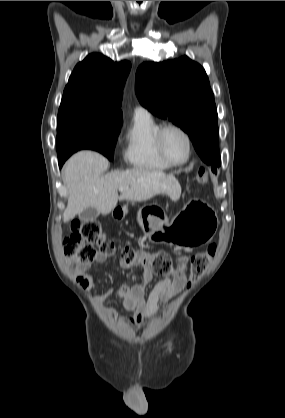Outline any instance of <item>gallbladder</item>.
Wrapping results in <instances>:
<instances>
[{"label":"gallbladder","instance_id":"obj_1","mask_svg":"<svg viewBox=\"0 0 285 418\" xmlns=\"http://www.w3.org/2000/svg\"><path fill=\"white\" fill-rule=\"evenodd\" d=\"M99 214L100 212L95 207H88L79 214V218L82 221L87 222L96 219Z\"/></svg>","mask_w":285,"mask_h":418}]
</instances>
